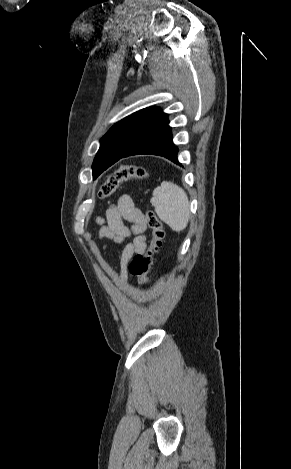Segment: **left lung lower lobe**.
Instances as JSON below:
<instances>
[{"label":"left lung lower lobe","mask_w":291,"mask_h":469,"mask_svg":"<svg viewBox=\"0 0 291 469\" xmlns=\"http://www.w3.org/2000/svg\"><path fill=\"white\" fill-rule=\"evenodd\" d=\"M177 153L178 148L173 143L171 127L168 125V121H166L157 129L142 138L126 153L119 156L115 161L117 162L121 158L132 155L153 154L164 156L172 162L179 164Z\"/></svg>","instance_id":"1"}]
</instances>
